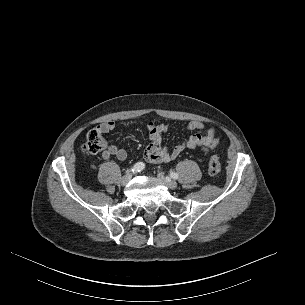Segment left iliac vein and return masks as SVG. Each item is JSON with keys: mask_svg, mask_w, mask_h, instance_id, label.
<instances>
[{"mask_svg": "<svg viewBox=\"0 0 305 305\" xmlns=\"http://www.w3.org/2000/svg\"><path fill=\"white\" fill-rule=\"evenodd\" d=\"M158 180L163 183L167 188L169 189H176L177 183L174 180H171L170 178H166L162 173L157 174Z\"/></svg>", "mask_w": 305, "mask_h": 305, "instance_id": "obj_1", "label": "left iliac vein"}]
</instances>
